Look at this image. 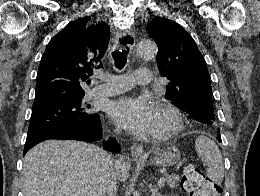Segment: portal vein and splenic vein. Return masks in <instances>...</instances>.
I'll return each instance as SVG.
<instances>
[{
    "instance_id": "obj_1",
    "label": "portal vein and splenic vein",
    "mask_w": 260,
    "mask_h": 196,
    "mask_svg": "<svg viewBox=\"0 0 260 196\" xmlns=\"http://www.w3.org/2000/svg\"><path fill=\"white\" fill-rule=\"evenodd\" d=\"M164 182H165V176H162V178L160 179V182H159L160 190H163Z\"/></svg>"
}]
</instances>
